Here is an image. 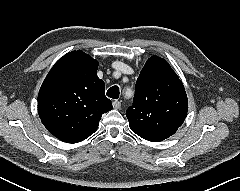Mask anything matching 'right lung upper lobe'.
Here are the masks:
<instances>
[{"mask_svg":"<svg viewBox=\"0 0 240 191\" xmlns=\"http://www.w3.org/2000/svg\"><path fill=\"white\" fill-rule=\"evenodd\" d=\"M98 61L82 50L60 58L46 76L38 94V113L58 139L78 143L98 128L103 113L113 106L97 76Z\"/></svg>","mask_w":240,"mask_h":191,"instance_id":"1","label":"right lung upper lobe"}]
</instances>
